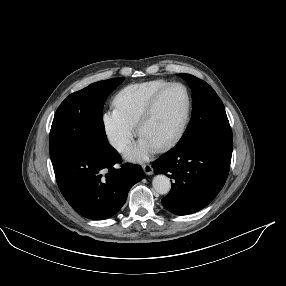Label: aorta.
Segmentation results:
<instances>
[{
	"mask_svg": "<svg viewBox=\"0 0 286 286\" xmlns=\"http://www.w3.org/2000/svg\"><path fill=\"white\" fill-rule=\"evenodd\" d=\"M152 185L154 190L159 194H167L171 189L170 179L162 174L156 175L153 178Z\"/></svg>",
	"mask_w": 286,
	"mask_h": 286,
	"instance_id": "762f6f07",
	"label": "aorta"
}]
</instances>
